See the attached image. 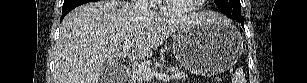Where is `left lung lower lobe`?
<instances>
[{
    "label": "left lung lower lobe",
    "mask_w": 307,
    "mask_h": 83,
    "mask_svg": "<svg viewBox=\"0 0 307 83\" xmlns=\"http://www.w3.org/2000/svg\"><path fill=\"white\" fill-rule=\"evenodd\" d=\"M233 20H236L237 22H239L244 28V19H233Z\"/></svg>",
    "instance_id": "1"
}]
</instances>
